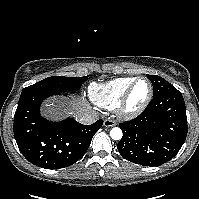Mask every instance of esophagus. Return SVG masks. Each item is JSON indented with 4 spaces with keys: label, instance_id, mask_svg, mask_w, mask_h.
<instances>
[{
    "label": "esophagus",
    "instance_id": "esophagus-1",
    "mask_svg": "<svg viewBox=\"0 0 199 199\" xmlns=\"http://www.w3.org/2000/svg\"><path fill=\"white\" fill-rule=\"evenodd\" d=\"M116 124H117L116 121L113 119L108 118L104 120L105 127H113V126H116Z\"/></svg>",
    "mask_w": 199,
    "mask_h": 199
}]
</instances>
